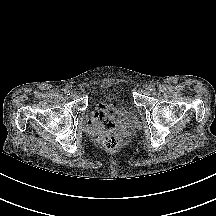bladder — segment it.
I'll return each instance as SVG.
<instances>
[{"instance_id":"1","label":"bladder","mask_w":216,"mask_h":216,"mask_svg":"<svg viewBox=\"0 0 216 216\" xmlns=\"http://www.w3.org/2000/svg\"><path fill=\"white\" fill-rule=\"evenodd\" d=\"M136 122L137 119L134 110L127 109L116 117L113 126L115 125L118 128H130L135 126Z\"/></svg>"}]
</instances>
